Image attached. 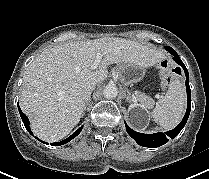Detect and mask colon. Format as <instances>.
I'll use <instances>...</instances> for the list:
<instances>
[{
	"mask_svg": "<svg viewBox=\"0 0 209 179\" xmlns=\"http://www.w3.org/2000/svg\"><path fill=\"white\" fill-rule=\"evenodd\" d=\"M180 74H181L180 69H178V68L171 69L170 71H168L166 73L164 83L165 84L171 83L173 80L178 78L180 76Z\"/></svg>",
	"mask_w": 209,
	"mask_h": 179,
	"instance_id": "colon-1",
	"label": "colon"
}]
</instances>
